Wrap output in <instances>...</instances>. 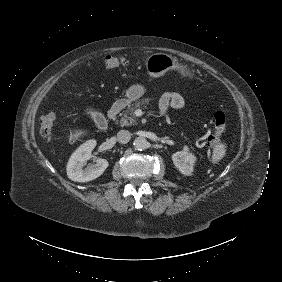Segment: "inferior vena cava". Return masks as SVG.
<instances>
[{
    "label": "inferior vena cava",
    "mask_w": 282,
    "mask_h": 282,
    "mask_svg": "<svg viewBox=\"0 0 282 282\" xmlns=\"http://www.w3.org/2000/svg\"><path fill=\"white\" fill-rule=\"evenodd\" d=\"M131 134L127 130H120L117 133V141L122 144H126L130 141Z\"/></svg>",
    "instance_id": "inferior-vena-cava-1"
}]
</instances>
